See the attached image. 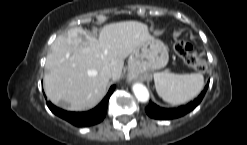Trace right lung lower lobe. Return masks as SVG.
<instances>
[{"label":"right lung lower lobe","instance_id":"98d812e1","mask_svg":"<svg viewBox=\"0 0 247 145\" xmlns=\"http://www.w3.org/2000/svg\"><path fill=\"white\" fill-rule=\"evenodd\" d=\"M114 89H115V85L111 86L108 94L102 100V102L97 107H95L94 109L88 112H68L54 106L50 102H47V105L55 115L61 117L62 119L70 122L75 126L78 127L90 126L97 124L104 119L107 111L108 100Z\"/></svg>","mask_w":247,"mask_h":145}]
</instances>
